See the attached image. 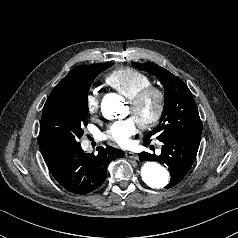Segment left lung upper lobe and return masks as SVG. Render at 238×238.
<instances>
[{"mask_svg":"<svg viewBox=\"0 0 238 238\" xmlns=\"http://www.w3.org/2000/svg\"><path fill=\"white\" fill-rule=\"evenodd\" d=\"M138 69L156 76L165 89V105L158 126L144 137L150 142L176 136L201 137L202 122L194 98L185 83L168 70L150 63H132Z\"/></svg>","mask_w":238,"mask_h":238,"instance_id":"1","label":"left lung upper lobe"}]
</instances>
